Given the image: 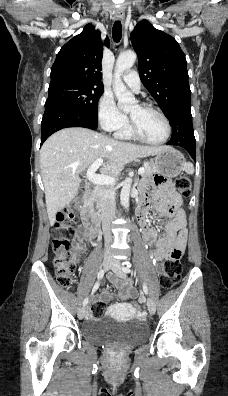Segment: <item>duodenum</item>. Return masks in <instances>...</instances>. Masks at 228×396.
<instances>
[{
  "instance_id": "duodenum-1",
  "label": "duodenum",
  "mask_w": 228,
  "mask_h": 396,
  "mask_svg": "<svg viewBox=\"0 0 228 396\" xmlns=\"http://www.w3.org/2000/svg\"><path fill=\"white\" fill-rule=\"evenodd\" d=\"M91 189V187H88L85 191L81 216L85 229L94 233L96 236L102 229V220L93 210Z\"/></svg>"
}]
</instances>
